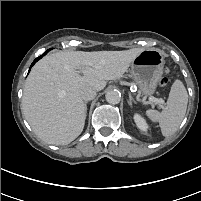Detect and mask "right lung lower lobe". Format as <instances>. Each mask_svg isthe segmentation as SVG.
<instances>
[{"instance_id": "1", "label": "right lung lower lobe", "mask_w": 201, "mask_h": 201, "mask_svg": "<svg viewBox=\"0 0 201 201\" xmlns=\"http://www.w3.org/2000/svg\"><path fill=\"white\" fill-rule=\"evenodd\" d=\"M48 51H49V50H47L43 55H41V56H39L38 58H36V59L34 60V62L32 63L31 67L35 64V62H37L40 58H42ZM29 71H30V69H29Z\"/></svg>"}]
</instances>
